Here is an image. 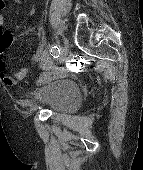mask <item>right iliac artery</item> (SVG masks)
Returning a JSON list of instances; mask_svg holds the SVG:
<instances>
[{
	"instance_id": "1",
	"label": "right iliac artery",
	"mask_w": 143,
	"mask_h": 170,
	"mask_svg": "<svg viewBox=\"0 0 143 170\" xmlns=\"http://www.w3.org/2000/svg\"><path fill=\"white\" fill-rule=\"evenodd\" d=\"M51 55L53 58H58L60 56V48L59 46L54 45L51 50Z\"/></svg>"
}]
</instances>
